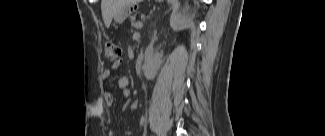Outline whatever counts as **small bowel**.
I'll return each mask as SVG.
<instances>
[{
    "mask_svg": "<svg viewBox=\"0 0 325 136\" xmlns=\"http://www.w3.org/2000/svg\"><path fill=\"white\" fill-rule=\"evenodd\" d=\"M119 63L118 62H115L113 65H112V68L113 69H116L119 67ZM112 76V72L111 70H105L104 73H103V79L104 80H109ZM117 86L119 88V90L121 91L122 95L125 97V98H128L130 97L131 95V90H130V87H129V79L127 76H120L117 80ZM104 102L108 105V106H112L115 102V97L113 95L112 92H105L104 93ZM134 107H137V104H133Z\"/></svg>",
    "mask_w": 325,
    "mask_h": 136,
    "instance_id": "1",
    "label": "small bowel"
}]
</instances>
